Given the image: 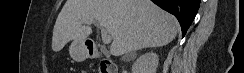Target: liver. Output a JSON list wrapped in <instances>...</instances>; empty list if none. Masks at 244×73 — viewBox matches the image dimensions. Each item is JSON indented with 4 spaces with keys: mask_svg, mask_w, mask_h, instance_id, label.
Returning <instances> with one entry per match:
<instances>
[{
    "mask_svg": "<svg viewBox=\"0 0 244 73\" xmlns=\"http://www.w3.org/2000/svg\"><path fill=\"white\" fill-rule=\"evenodd\" d=\"M85 20L107 30L114 56L167 45L179 30L177 19L150 0H67L53 29L52 50L60 51L71 40L85 41L92 33Z\"/></svg>",
    "mask_w": 244,
    "mask_h": 73,
    "instance_id": "liver-1",
    "label": "liver"
}]
</instances>
